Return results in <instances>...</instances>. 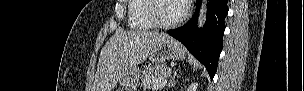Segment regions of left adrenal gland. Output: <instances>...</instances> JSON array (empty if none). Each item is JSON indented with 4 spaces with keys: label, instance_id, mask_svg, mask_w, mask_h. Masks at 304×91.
Segmentation results:
<instances>
[{
    "label": "left adrenal gland",
    "instance_id": "left-adrenal-gland-1",
    "mask_svg": "<svg viewBox=\"0 0 304 91\" xmlns=\"http://www.w3.org/2000/svg\"><path fill=\"white\" fill-rule=\"evenodd\" d=\"M175 77H176V74H174V75L170 78V81H169V83H168V87H169V88L175 86V84H176Z\"/></svg>",
    "mask_w": 304,
    "mask_h": 91
}]
</instances>
